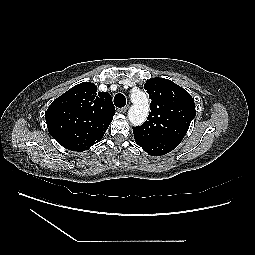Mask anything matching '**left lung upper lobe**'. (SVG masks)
I'll return each mask as SVG.
<instances>
[{
  "instance_id": "1",
  "label": "left lung upper lobe",
  "mask_w": 255,
  "mask_h": 255,
  "mask_svg": "<svg viewBox=\"0 0 255 255\" xmlns=\"http://www.w3.org/2000/svg\"><path fill=\"white\" fill-rule=\"evenodd\" d=\"M144 88L151 99L144 124L133 127L140 138H175L182 140L196 115L194 99L183 88L164 78H152Z\"/></svg>"
}]
</instances>
